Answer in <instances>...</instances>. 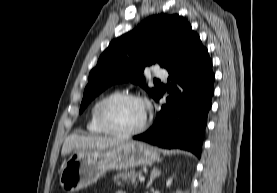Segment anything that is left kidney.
<instances>
[{"instance_id":"5707ae66","label":"left kidney","mask_w":277,"mask_h":193,"mask_svg":"<svg viewBox=\"0 0 277 193\" xmlns=\"http://www.w3.org/2000/svg\"><path fill=\"white\" fill-rule=\"evenodd\" d=\"M172 183V179H168L167 182H166V186L169 187Z\"/></svg>"}]
</instances>
